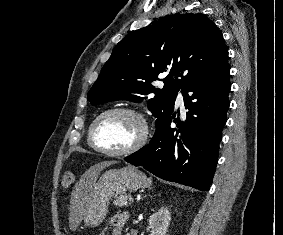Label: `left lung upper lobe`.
Masks as SVG:
<instances>
[{
    "instance_id": "5c2ea615",
    "label": "left lung upper lobe",
    "mask_w": 283,
    "mask_h": 235,
    "mask_svg": "<svg viewBox=\"0 0 283 235\" xmlns=\"http://www.w3.org/2000/svg\"><path fill=\"white\" fill-rule=\"evenodd\" d=\"M228 59L221 31L203 14L168 15L136 30L113 49L88 93V101H147L158 127L174 110L177 93L190 80ZM164 88L155 86L160 73ZM181 77V79H178Z\"/></svg>"
}]
</instances>
